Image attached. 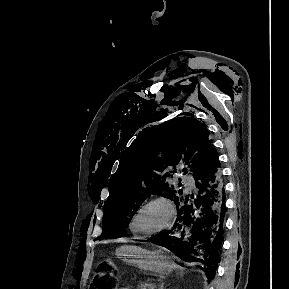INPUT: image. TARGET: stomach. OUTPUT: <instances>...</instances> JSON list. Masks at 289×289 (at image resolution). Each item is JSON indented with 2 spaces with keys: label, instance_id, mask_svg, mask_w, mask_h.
Segmentation results:
<instances>
[{
  "label": "stomach",
  "instance_id": "obj_1",
  "mask_svg": "<svg viewBox=\"0 0 289 289\" xmlns=\"http://www.w3.org/2000/svg\"><path fill=\"white\" fill-rule=\"evenodd\" d=\"M115 255L146 272L165 275L173 269L170 257L162 250L151 251L136 245H124L116 250Z\"/></svg>",
  "mask_w": 289,
  "mask_h": 289
}]
</instances>
